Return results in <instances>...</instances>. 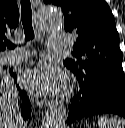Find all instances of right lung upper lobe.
<instances>
[{"label":"right lung upper lobe","instance_id":"1","mask_svg":"<svg viewBox=\"0 0 125 128\" xmlns=\"http://www.w3.org/2000/svg\"><path fill=\"white\" fill-rule=\"evenodd\" d=\"M19 10L15 0H0V51L6 49V35L18 25Z\"/></svg>","mask_w":125,"mask_h":128}]
</instances>
